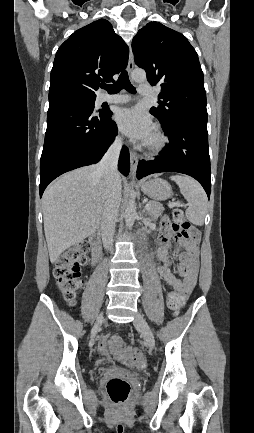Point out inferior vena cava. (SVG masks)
Instances as JSON below:
<instances>
[{"label":"inferior vena cava","instance_id":"1","mask_svg":"<svg viewBox=\"0 0 254 433\" xmlns=\"http://www.w3.org/2000/svg\"><path fill=\"white\" fill-rule=\"evenodd\" d=\"M122 138L117 137L98 164V170L105 175L107 197L101 217L102 242L106 250H111L115 233V222L121 202V181L117 169Z\"/></svg>","mask_w":254,"mask_h":433}]
</instances>
